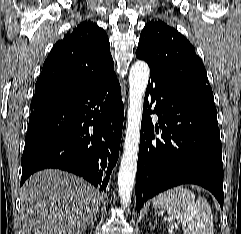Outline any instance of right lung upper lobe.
<instances>
[{"mask_svg":"<svg viewBox=\"0 0 241 234\" xmlns=\"http://www.w3.org/2000/svg\"><path fill=\"white\" fill-rule=\"evenodd\" d=\"M114 74L106 32L97 24L84 21L52 48L35 84L32 102L86 90Z\"/></svg>","mask_w":241,"mask_h":234,"instance_id":"cb5924a9","label":"right lung upper lobe"}]
</instances>
